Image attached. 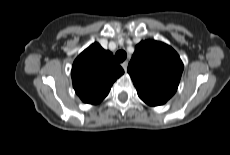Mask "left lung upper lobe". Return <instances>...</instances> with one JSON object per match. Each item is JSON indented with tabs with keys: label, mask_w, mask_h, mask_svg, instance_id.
<instances>
[{
	"label": "left lung upper lobe",
	"mask_w": 230,
	"mask_h": 155,
	"mask_svg": "<svg viewBox=\"0 0 230 155\" xmlns=\"http://www.w3.org/2000/svg\"><path fill=\"white\" fill-rule=\"evenodd\" d=\"M183 68L172 47L163 42L145 40L136 45L127 70L138 96L149 106H159L175 94Z\"/></svg>",
	"instance_id": "left-lung-upper-lobe-1"
}]
</instances>
